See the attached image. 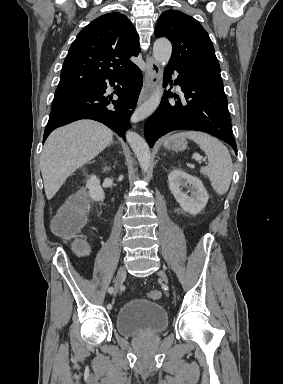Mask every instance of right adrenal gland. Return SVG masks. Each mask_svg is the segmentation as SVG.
<instances>
[{"instance_id": "2a0ac1e0", "label": "right adrenal gland", "mask_w": 283, "mask_h": 384, "mask_svg": "<svg viewBox=\"0 0 283 384\" xmlns=\"http://www.w3.org/2000/svg\"><path fill=\"white\" fill-rule=\"evenodd\" d=\"M111 144H118V142H111ZM111 144H109V146H111Z\"/></svg>"}]
</instances>
